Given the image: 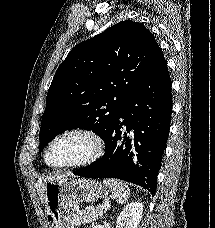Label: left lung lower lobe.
<instances>
[{
    "mask_svg": "<svg viewBox=\"0 0 215 228\" xmlns=\"http://www.w3.org/2000/svg\"><path fill=\"white\" fill-rule=\"evenodd\" d=\"M171 79L160 52L141 83L120 108L105 142L104 156L74 172L87 178H118L156 192L172 112ZM123 125L126 131H122ZM133 130L134 139L127 137Z\"/></svg>",
    "mask_w": 215,
    "mask_h": 228,
    "instance_id": "obj_1",
    "label": "left lung lower lobe"
}]
</instances>
